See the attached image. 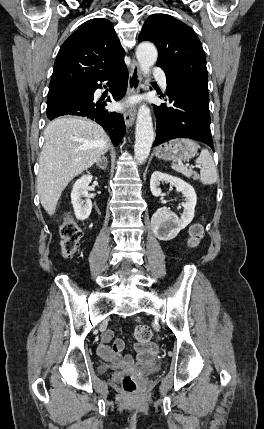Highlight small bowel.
I'll list each match as a JSON object with an SVG mask.
<instances>
[{"mask_svg":"<svg viewBox=\"0 0 264 429\" xmlns=\"http://www.w3.org/2000/svg\"><path fill=\"white\" fill-rule=\"evenodd\" d=\"M112 337L113 332L111 330L104 333L102 341L98 346L99 355L105 360L111 361L117 365L130 366L133 362L132 357L129 355H122L124 342L118 339L110 345ZM134 348L139 362L150 361L158 352V346L155 343H147L144 345L136 344Z\"/></svg>","mask_w":264,"mask_h":429,"instance_id":"c3829d8e","label":"small bowel"}]
</instances>
